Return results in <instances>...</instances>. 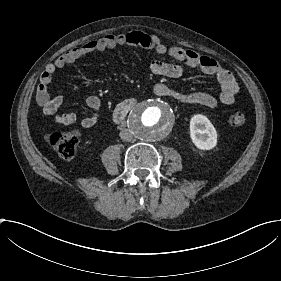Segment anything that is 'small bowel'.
<instances>
[{
	"instance_id": "c3829d8e",
	"label": "small bowel",
	"mask_w": 281,
	"mask_h": 281,
	"mask_svg": "<svg viewBox=\"0 0 281 281\" xmlns=\"http://www.w3.org/2000/svg\"><path fill=\"white\" fill-rule=\"evenodd\" d=\"M118 46H133L153 50L173 60L183 62L190 68H197L203 73L214 76L221 86L220 99L224 104H232L238 93V84L232 73L222 68L214 59L203 56L194 50L185 49L179 45H167L159 36L142 30H129L122 34H106L98 40H92L81 46L75 47L52 65H49L40 77L36 101L46 116L54 115L64 104L65 96L62 93L50 98L49 84L56 70L67 64L74 63L77 59L95 52L112 50ZM149 71L155 76L178 79L183 75V67L170 62L156 60L149 66ZM153 91L158 95L170 97L174 101L185 105H199L206 108H215L218 99L215 95L201 91H184L173 88L166 83L156 82ZM90 114L81 120L85 128L93 127L99 120L101 104L96 95H89L86 99ZM77 121L73 113L56 115L54 122L57 125L68 126Z\"/></svg>"
}]
</instances>
